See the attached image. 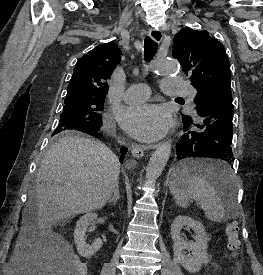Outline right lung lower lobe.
Returning <instances> with one entry per match:
<instances>
[{"label": "right lung lower lobe", "mask_w": 263, "mask_h": 275, "mask_svg": "<svg viewBox=\"0 0 263 275\" xmlns=\"http://www.w3.org/2000/svg\"><path fill=\"white\" fill-rule=\"evenodd\" d=\"M82 132L87 133V134L92 135V136L97 137V138L98 137H102V134L98 133L97 130H92V131L84 130ZM127 151H128L127 148H125L124 146H122V148H121V156H120V162L121 163L123 162L124 156H125V154H126Z\"/></svg>", "instance_id": "1"}]
</instances>
